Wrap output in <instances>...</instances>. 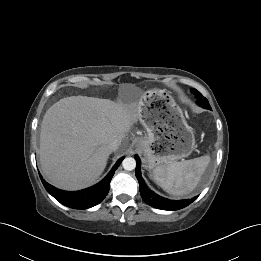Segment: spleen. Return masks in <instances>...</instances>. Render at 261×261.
<instances>
[{"instance_id": "3e777b00", "label": "spleen", "mask_w": 261, "mask_h": 261, "mask_svg": "<svg viewBox=\"0 0 261 261\" xmlns=\"http://www.w3.org/2000/svg\"><path fill=\"white\" fill-rule=\"evenodd\" d=\"M210 162L208 155L156 167L150 177L167 193L181 196L193 191Z\"/></svg>"}]
</instances>
